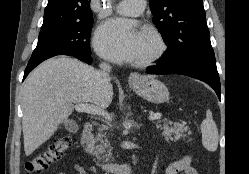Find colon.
I'll return each mask as SVG.
<instances>
[{"instance_id": "colon-1", "label": "colon", "mask_w": 249, "mask_h": 174, "mask_svg": "<svg viewBox=\"0 0 249 174\" xmlns=\"http://www.w3.org/2000/svg\"><path fill=\"white\" fill-rule=\"evenodd\" d=\"M73 144L70 133L63 134L46 149L36 153L25 166L26 174H40L60 159Z\"/></svg>"}]
</instances>
